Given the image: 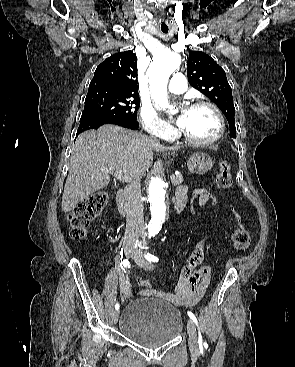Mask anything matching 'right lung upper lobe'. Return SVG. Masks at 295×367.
I'll use <instances>...</instances> for the list:
<instances>
[{"mask_svg":"<svg viewBox=\"0 0 295 367\" xmlns=\"http://www.w3.org/2000/svg\"><path fill=\"white\" fill-rule=\"evenodd\" d=\"M95 90L139 97L136 55L132 51L119 52L102 62L88 91Z\"/></svg>","mask_w":295,"mask_h":367,"instance_id":"right-lung-upper-lobe-1","label":"right lung upper lobe"}]
</instances>
